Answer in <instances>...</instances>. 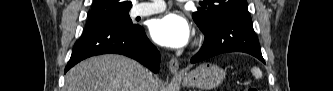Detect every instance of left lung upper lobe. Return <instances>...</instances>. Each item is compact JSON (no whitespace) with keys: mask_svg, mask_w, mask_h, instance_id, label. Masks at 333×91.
Wrapping results in <instances>:
<instances>
[{"mask_svg":"<svg viewBox=\"0 0 333 91\" xmlns=\"http://www.w3.org/2000/svg\"><path fill=\"white\" fill-rule=\"evenodd\" d=\"M200 5L192 17L203 33L224 16L249 13L247 0H204Z\"/></svg>","mask_w":333,"mask_h":91,"instance_id":"obj_1","label":"left lung upper lobe"}]
</instances>
